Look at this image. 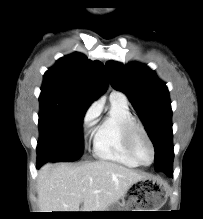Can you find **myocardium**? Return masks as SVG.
<instances>
[{
    "label": "myocardium",
    "instance_id": "1",
    "mask_svg": "<svg viewBox=\"0 0 203 219\" xmlns=\"http://www.w3.org/2000/svg\"><path fill=\"white\" fill-rule=\"evenodd\" d=\"M139 133L144 136V138L147 140L151 148L152 160L150 163L142 162L135 150V145H134L135 138L137 134ZM124 139H125V144H126L128 152L141 166H149L154 162L155 156H156V150H155L154 143L151 137L149 136L148 132L146 131L145 127L140 122L133 120L126 124L125 129H124Z\"/></svg>",
    "mask_w": 203,
    "mask_h": 219
}]
</instances>
